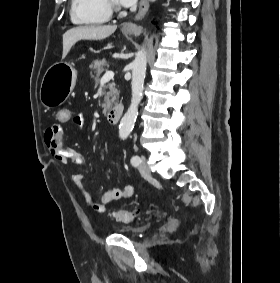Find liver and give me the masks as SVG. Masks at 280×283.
I'll list each match as a JSON object with an SVG mask.
<instances>
[{
    "instance_id": "liver-1",
    "label": "liver",
    "mask_w": 280,
    "mask_h": 283,
    "mask_svg": "<svg viewBox=\"0 0 280 283\" xmlns=\"http://www.w3.org/2000/svg\"><path fill=\"white\" fill-rule=\"evenodd\" d=\"M117 29L116 25H87L69 29L63 35V54L65 58L71 47L80 40H103L109 37Z\"/></svg>"
}]
</instances>
